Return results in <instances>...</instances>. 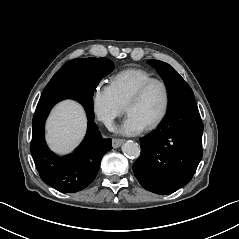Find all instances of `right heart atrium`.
<instances>
[{
    "label": "right heart atrium",
    "instance_id": "obj_1",
    "mask_svg": "<svg viewBox=\"0 0 239 239\" xmlns=\"http://www.w3.org/2000/svg\"><path fill=\"white\" fill-rule=\"evenodd\" d=\"M91 108L94 115L112 127L115 119L125 111V105L119 100L113 87L97 83L91 92Z\"/></svg>",
    "mask_w": 239,
    "mask_h": 239
}]
</instances>
